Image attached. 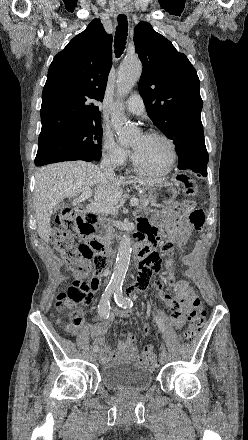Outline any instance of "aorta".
<instances>
[{"label": "aorta", "instance_id": "762f6f07", "mask_svg": "<svg viewBox=\"0 0 248 440\" xmlns=\"http://www.w3.org/2000/svg\"><path fill=\"white\" fill-rule=\"evenodd\" d=\"M142 73V64L137 58L125 59L119 67L117 78V93L119 97L128 95L139 80ZM111 124L122 145L131 143L136 136V129L128 124L126 117L115 112L111 117ZM132 241L129 234H124L119 244L114 272L110 280V287L119 289L128 270L132 251Z\"/></svg>", "mask_w": 248, "mask_h": 440}]
</instances>
